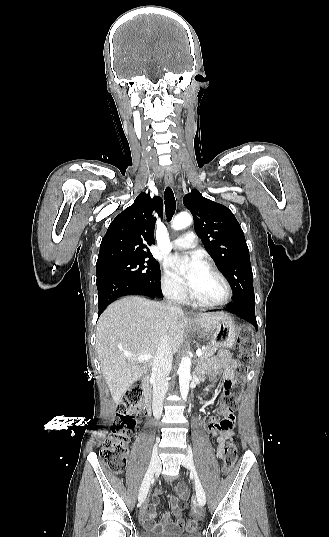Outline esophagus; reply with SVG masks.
I'll return each instance as SVG.
<instances>
[{
    "label": "esophagus",
    "mask_w": 329,
    "mask_h": 537,
    "mask_svg": "<svg viewBox=\"0 0 329 537\" xmlns=\"http://www.w3.org/2000/svg\"><path fill=\"white\" fill-rule=\"evenodd\" d=\"M164 179H165V184H166L167 186H170V187L173 186V176H172V174H171L170 172L167 171V172L165 173V177H164Z\"/></svg>",
    "instance_id": "1"
}]
</instances>
